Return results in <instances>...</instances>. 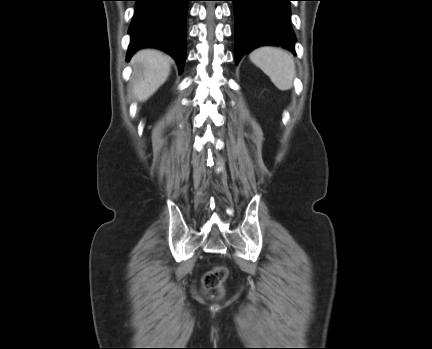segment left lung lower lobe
<instances>
[{
	"label": "left lung lower lobe",
	"mask_w": 432,
	"mask_h": 349,
	"mask_svg": "<svg viewBox=\"0 0 432 349\" xmlns=\"http://www.w3.org/2000/svg\"><path fill=\"white\" fill-rule=\"evenodd\" d=\"M235 13V60L253 49L283 46L293 53L294 34L290 27L291 0H231Z\"/></svg>",
	"instance_id": "1"
}]
</instances>
